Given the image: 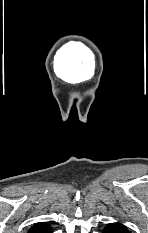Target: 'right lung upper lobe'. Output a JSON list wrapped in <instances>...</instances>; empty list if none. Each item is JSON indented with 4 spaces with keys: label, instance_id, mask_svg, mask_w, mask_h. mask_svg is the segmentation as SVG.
<instances>
[{
    "label": "right lung upper lobe",
    "instance_id": "1",
    "mask_svg": "<svg viewBox=\"0 0 148 233\" xmlns=\"http://www.w3.org/2000/svg\"><path fill=\"white\" fill-rule=\"evenodd\" d=\"M28 233H51V229L47 223H37L29 229Z\"/></svg>",
    "mask_w": 148,
    "mask_h": 233
}]
</instances>
